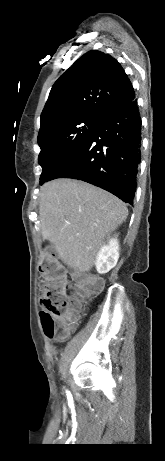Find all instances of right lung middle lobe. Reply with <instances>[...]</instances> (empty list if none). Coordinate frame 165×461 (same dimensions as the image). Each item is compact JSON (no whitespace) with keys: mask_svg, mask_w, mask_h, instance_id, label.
Instances as JSON below:
<instances>
[{"mask_svg":"<svg viewBox=\"0 0 165 461\" xmlns=\"http://www.w3.org/2000/svg\"><path fill=\"white\" fill-rule=\"evenodd\" d=\"M99 121L92 116L74 117L55 122L38 135L41 148L38 161L43 170L40 184L88 139Z\"/></svg>","mask_w":165,"mask_h":461,"instance_id":"dd1d6c3e","label":"right lung middle lobe"}]
</instances>
